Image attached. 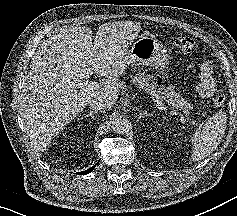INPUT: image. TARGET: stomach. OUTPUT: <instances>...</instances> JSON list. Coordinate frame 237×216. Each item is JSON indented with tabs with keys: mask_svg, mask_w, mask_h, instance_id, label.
<instances>
[{
	"mask_svg": "<svg viewBox=\"0 0 237 216\" xmlns=\"http://www.w3.org/2000/svg\"><path fill=\"white\" fill-rule=\"evenodd\" d=\"M132 65H151L157 68L165 66L168 60L166 49L155 38L141 37L134 42L127 53Z\"/></svg>",
	"mask_w": 237,
	"mask_h": 216,
	"instance_id": "stomach-1",
	"label": "stomach"
}]
</instances>
